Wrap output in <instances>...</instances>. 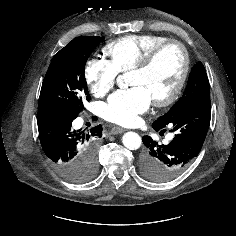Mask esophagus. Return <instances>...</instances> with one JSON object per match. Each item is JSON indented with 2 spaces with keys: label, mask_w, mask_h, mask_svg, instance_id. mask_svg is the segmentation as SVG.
Segmentation results:
<instances>
[{
  "label": "esophagus",
  "mask_w": 236,
  "mask_h": 236,
  "mask_svg": "<svg viewBox=\"0 0 236 236\" xmlns=\"http://www.w3.org/2000/svg\"><path fill=\"white\" fill-rule=\"evenodd\" d=\"M125 132V129L122 128V127H119V126H114L112 129H111V133L112 134H120V133H123Z\"/></svg>",
  "instance_id": "esophagus-1"
}]
</instances>
